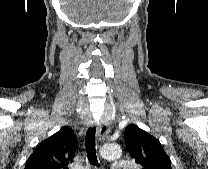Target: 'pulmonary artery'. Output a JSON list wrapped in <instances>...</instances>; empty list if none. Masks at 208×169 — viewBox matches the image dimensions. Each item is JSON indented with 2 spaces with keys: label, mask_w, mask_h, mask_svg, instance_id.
Masks as SVG:
<instances>
[{
  "label": "pulmonary artery",
  "mask_w": 208,
  "mask_h": 169,
  "mask_svg": "<svg viewBox=\"0 0 208 169\" xmlns=\"http://www.w3.org/2000/svg\"><path fill=\"white\" fill-rule=\"evenodd\" d=\"M111 169H132V164L126 159H116L111 165Z\"/></svg>",
  "instance_id": "e3ab8cb5"
}]
</instances>
